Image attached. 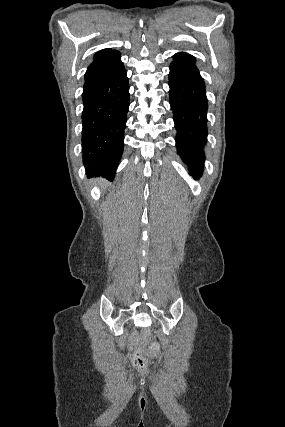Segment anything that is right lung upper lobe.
Returning <instances> with one entry per match:
<instances>
[{
    "mask_svg": "<svg viewBox=\"0 0 285 427\" xmlns=\"http://www.w3.org/2000/svg\"><path fill=\"white\" fill-rule=\"evenodd\" d=\"M120 53L109 48L97 52L94 61L89 65L85 74V84L103 79L124 71Z\"/></svg>",
    "mask_w": 285,
    "mask_h": 427,
    "instance_id": "1",
    "label": "right lung upper lobe"
}]
</instances>
